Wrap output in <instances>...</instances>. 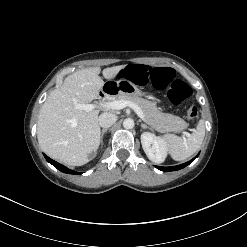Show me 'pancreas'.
Returning a JSON list of instances; mask_svg holds the SVG:
<instances>
[{
    "label": "pancreas",
    "instance_id": "pancreas-1",
    "mask_svg": "<svg viewBox=\"0 0 247 247\" xmlns=\"http://www.w3.org/2000/svg\"><path fill=\"white\" fill-rule=\"evenodd\" d=\"M111 100H126L135 103L141 108L145 121L159 132H180L188 126V124L180 117L161 112L156 106V102L148 101L139 96L119 94Z\"/></svg>",
    "mask_w": 247,
    "mask_h": 247
}]
</instances>
